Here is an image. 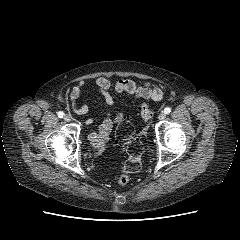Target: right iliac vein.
<instances>
[{"mask_svg":"<svg viewBox=\"0 0 240 240\" xmlns=\"http://www.w3.org/2000/svg\"><path fill=\"white\" fill-rule=\"evenodd\" d=\"M64 120L67 121V122H69V121L72 120V117H71L70 115L66 114V115L64 116Z\"/></svg>","mask_w":240,"mask_h":240,"instance_id":"63e3f726","label":"right iliac vein"}]
</instances>
